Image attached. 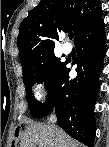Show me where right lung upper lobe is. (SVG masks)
<instances>
[{
    "label": "right lung upper lobe",
    "instance_id": "1",
    "mask_svg": "<svg viewBox=\"0 0 109 147\" xmlns=\"http://www.w3.org/2000/svg\"><path fill=\"white\" fill-rule=\"evenodd\" d=\"M101 16L99 0H42L20 24L17 45L22 68L54 52L63 32H73L76 41Z\"/></svg>",
    "mask_w": 109,
    "mask_h": 147
}]
</instances>
